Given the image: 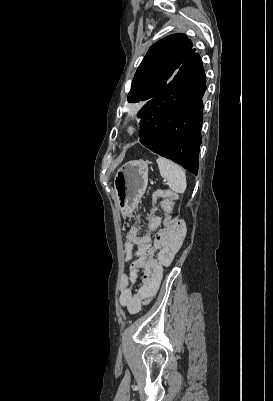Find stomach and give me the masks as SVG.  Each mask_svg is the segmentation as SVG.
<instances>
[{
  "instance_id": "stomach-1",
  "label": "stomach",
  "mask_w": 273,
  "mask_h": 401,
  "mask_svg": "<svg viewBox=\"0 0 273 401\" xmlns=\"http://www.w3.org/2000/svg\"><path fill=\"white\" fill-rule=\"evenodd\" d=\"M148 164L129 160L122 164L114 178L115 203L123 219L132 217L148 186Z\"/></svg>"
}]
</instances>
